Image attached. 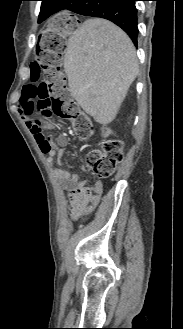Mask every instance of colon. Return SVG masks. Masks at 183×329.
Here are the masks:
<instances>
[{"mask_svg": "<svg viewBox=\"0 0 183 329\" xmlns=\"http://www.w3.org/2000/svg\"><path fill=\"white\" fill-rule=\"evenodd\" d=\"M79 14H50L46 25H39L35 38H40L35 55H30V72L27 86H21L19 114H38L43 118L57 116L73 121L74 131L82 139L93 134L89 119L79 112L70 97L66 81L67 74L61 69L64 51V38H77L79 32ZM105 135L110 134L104 129ZM41 150L51 148L48 138L41 140ZM123 144L117 139H106L97 149L86 156V164L99 179L111 177L123 160Z\"/></svg>", "mask_w": 183, "mask_h": 329, "instance_id": "obj_1", "label": "colon"}]
</instances>
